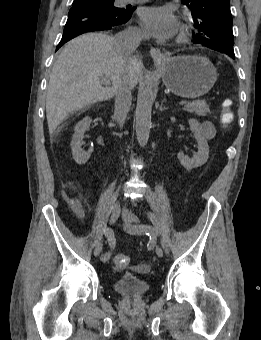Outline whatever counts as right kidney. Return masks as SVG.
<instances>
[{
	"mask_svg": "<svg viewBox=\"0 0 261 340\" xmlns=\"http://www.w3.org/2000/svg\"><path fill=\"white\" fill-rule=\"evenodd\" d=\"M91 121V118L85 117L75 126L74 129L75 132L71 141V149L73 159L79 165L85 164L89 160L91 153L93 152L92 149L85 151L82 148V145L84 144V134L87 130H89Z\"/></svg>",
	"mask_w": 261,
	"mask_h": 340,
	"instance_id": "ca27d5eb",
	"label": "right kidney"
}]
</instances>
